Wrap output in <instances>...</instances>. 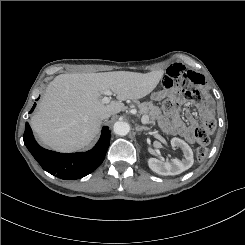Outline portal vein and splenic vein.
Returning a JSON list of instances; mask_svg holds the SVG:
<instances>
[{"mask_svg":"<svg viewBox=\"0 0 245 245\" xmlns=\"http://www.w3.org/2000/svg\"><path fill=\"white\" fill-rule=\"evenodd\" d=\"M105 96L102 98V102L104 104H108L110 102V96L112 95V92L110 90H105L103 93ZM135 111V110H134ZM141 122L143 124H147L148 123V117L146 115L142 116L141 118Z\"/></svg>","mask_w":245,"mask_h":245,"instance_id":"1","label":"portal vein and splenic vein"}]
</instances>
